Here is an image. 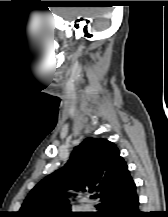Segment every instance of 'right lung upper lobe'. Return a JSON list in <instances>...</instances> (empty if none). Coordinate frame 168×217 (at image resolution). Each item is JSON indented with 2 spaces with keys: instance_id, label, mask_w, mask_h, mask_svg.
I'll return each mask as SVG.
<instances>
[{
  "instance_id": "obj_1",
  "label": "right lung upper lobe",
  "mask_w": 168,
  "mask_h": 217,
  "mask_svg": "<svg viewBox=\"0 0 168 217\" xmlns=\"http://www.w3.org/2000/svg\"><path fill=\"white\" fill-rule=\"evenodd\" d=\"M135 183L116 145L106 139L86 138L76 146L61 169L40 181L28 194L19 217L74 215L68 191L97 192L101 209L109 201L127 194ZM75 195V194H74ZM79 214V213H78ZM95 213L79 214L92 216Z\"/></svg>"
}]
</instances>
